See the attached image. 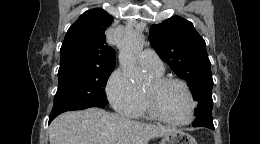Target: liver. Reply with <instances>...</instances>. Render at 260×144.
<instances>
[{
  "instance_id": "obj_1",
  "label": "liver",
  "mask_w": 260,
  "mask_h": 144,
  "mask_svg": "<svg viewBox=\"0 0 260 144\" xmlns=\"http://www.w3.org/2000/svg\"><path fill=\"white\" fill-rule=\"evenodd\" d=\"M175 128L141 123L102 109L66 112L49 127L50 144H148Z\"/></svg>"
}]
</instances>
